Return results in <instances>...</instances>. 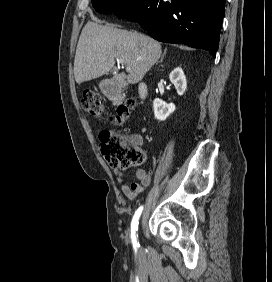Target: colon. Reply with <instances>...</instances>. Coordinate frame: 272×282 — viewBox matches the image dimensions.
<instances>
[{"label": "colon", "instance_id": "colon-1", "mask_svg": "<svg viewBox=\"0 0 272 282\" xmlns=\"http://www.w3.org/2000/svg\"><path fill=\"white\" fill-rule=\"evenodd\" d=\"M82 105L91 115L106 118L112 124L122 125L129 119L135 102L128 101L112 114L108 113L99 93L85 91L82 96ZM99 140L102 155L113 169L126 171L142 164L145 160V153L140 146L115 131L102 130L99 133Z\"/></svg>", "mask_w": 272, "mask_h": 282}]
</instances>
